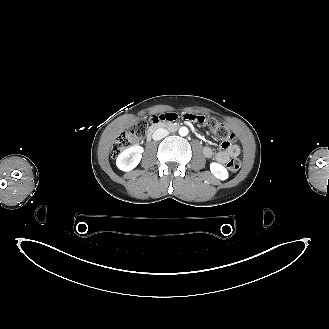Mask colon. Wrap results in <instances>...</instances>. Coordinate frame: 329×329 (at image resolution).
Returning a JSON list of instances; mask_svg holds the SVG:
<instances>
[{
  "mask_svg": "<svg viewBox=\"0 0 329 329\" xmlns=\"http://www.w3.org/2000/svg\"><path fill=\"white\" fill-rule=\"evenodd\" d=\"M167 113V112H166ZM164 114V113H162ZM157 117V115L155 116ZM149 125L148 120H142L128 128L126 131L121 133L118 138L116 139L111 155L112 157H117L122 150L125 148L135 144L137 141H139L143 135L145 134L147 128ZM209 128L211 132L222 141V144L224 146H229L234 141V134L229 130L228 127H226L224 124L216 121V120H210L208 122ZM241 162L238 158H231L227 164L226 167L231 172H236L240 169Z\"/></svg>",
  "mask_w": 329,
  "mask_h": 329,
  "instance_id": "colon-1",
  "label": "colon"
}]
</instances>
